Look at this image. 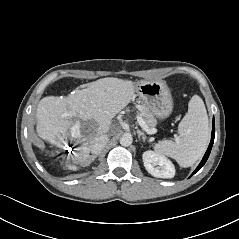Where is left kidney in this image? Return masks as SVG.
<instances>
[{
	"mask_svg": "<svg viewBox=\"0 0 239 239\" xmlns=\"http://www.w3.org/2000/svg\"><path fill=\"white\" fill-rule=\"evenodd\" d=\"M143 162L146 170L157 178H173L175 175V167L172 162L153 151L143 153Z\"/></svg>",
	"mask_w": 239,
	"mask_h": 239,
	"instance_id": "left-kidney-1",
	"label": "left kidney"
}]
</instances>
